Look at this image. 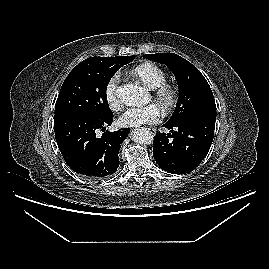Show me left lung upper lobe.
Returning a JSON list of instances; mask_svg holds the SVG:
<instances>
[{"label": "left lung upper lobe", "instance_id": "5c2ea615", "mask_svg": "<svg viewBox=\"0 0 269 269\" xmlns=\"http://www.w3.org/2000/svg\"><path fill=\"white\" fill-rule=\"evenodd\" d=\"M144 57L165 64L177 78L179 98L167 123L176 124L202 111H216L210 86L194 65L174 53L146 54Z\"/></svg>", "mask_w": 269, "mask_h": 269}]
</instances>
